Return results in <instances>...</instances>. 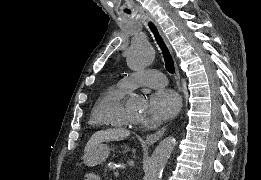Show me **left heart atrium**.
Returning a JSON list of instances; mask_svg holds the SVG:
<instances>
[{"label":"left heart atrium","instance_id":"obj_1","mask_svg":"<svg viewBox=\"0 0 261 180\" xmlns=\"http://www.w3.org/2000/svg\"><path fill=\"white\" fill-rule=\"evenodd\" d=\"M180 107V98L174 91L159 88L150 94L142 111V121L146 119L164 120L172 117Z\"/></svg>","mask_w":261,"mask_h":180}]
</instances>
